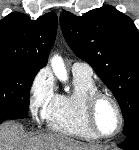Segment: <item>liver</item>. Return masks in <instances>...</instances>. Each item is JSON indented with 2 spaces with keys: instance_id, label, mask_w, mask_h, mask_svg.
Segmentation results:
<instances>
[{
  "instance_id": "obj_1",
  "label": "liver",
  "mask_w": 139,
  "mask_h": 150,
  "mask_svg": "<svg viewBox=\"0 0 139 150\" xmlns=\"http://www.w3.org/2000/svg\"><path fill=\"white\" fill-rule=\"evenodd\" d=\"M99 147L59 134L24 137L21 125H0V150H98Z\"/></svg>"
}]
</instances>
